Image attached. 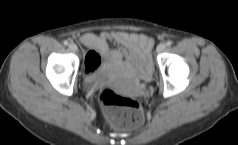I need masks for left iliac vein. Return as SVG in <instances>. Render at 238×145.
Here are the masks:
<instances>
[{
    "label": "left iliac vein",
    "mask_w": 238,
    "mask_h": 145,
    "mask_svg": "<svg viewBox=\"0 0 238 145\" xmlns=\"http://www.w3.org/2000/svg\"><path fill=\"white\" fill-rule=\"evenodd\" d=\"M165 49H166V45H165L164 43H160V44L157 46V52H158V53L163 52Z\"/></svg>",
    "instance_id": "obj_1"
}]
</instances>
